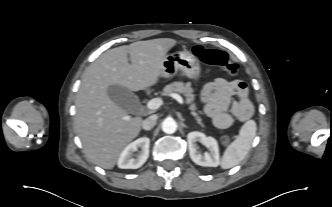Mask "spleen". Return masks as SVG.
<instances>
[{
  "label": "spleen",
  "mask_w": 332,
  "mask_h": 207,
  "mask_svg": "<svg viewBox=\"0 0 332 207\" xmlns=\"http://www.w3.org/2000/svg\"><path fill=\"white\" fill-rule=\"evenodd\" d=\"M257 126L254 120L247 121L240 129L239 136L225 150L221 167L229 169L238 165L248 154L256 135Z\"/></svg>",
  "instance_id": "1"
}]
</instances>
